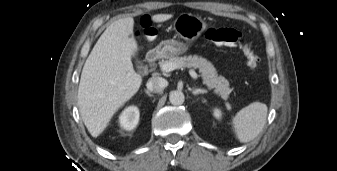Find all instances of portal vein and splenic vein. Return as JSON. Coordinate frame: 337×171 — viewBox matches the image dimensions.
<instances>
[{
  "label": "portal vein and splenic vein",
  "instance_id": "1",
  "mask_svg": "<svg viewBox=\"0 0 337 171\" xmlns=\"http://www.w3.org/2000/svg\"><path fill=\"white\" fill-rule=\"evenodd\" d=\"M177 69V65L175 63H172V62H168V63H165L161 66V70L163 72H171L173 70ZM189 74L190 76L193 78V79H197L198 78V74L194 71V70H190L189 71ZM227 108L230 109L231 106L229 103L226 104Z\"/></svg>",
  "mask_w": 337,
  "mask_h": 171
}]
</instances>
